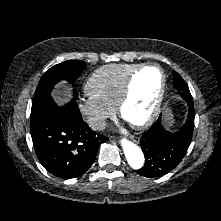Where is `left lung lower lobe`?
I'll return each instance as SVG.
<instances>
[{
  "mask_svg": "<svg viewBox=\"0 0 221 221\" xmlns=\"http://www.w3.org/2000/svg\"><path fill=\"white\" fill-rule=\"evenodd\" d=\"M188 118L182 128L174 133L166 131L158 120L140 139L145 165L136 172L144 177H160L173 170L184 157L192 140L195 111L193 100H186Z\"/></svg>",
  "mask_w": 221,
  "mask_h": 221,
  "instance_id": "left-lung-lower-lobe-1",
  "label": "left lung lower lobe"
}]
</instances>
